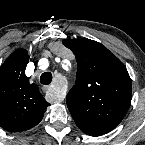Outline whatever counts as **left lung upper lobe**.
<instances>
[{
	"mask_svg": "<svg viewBox=\"0 0 145 145\" xmlns=\"http://www.w3.org/2000/svg\"><path fill=\"white\" fill-rule=\"evenodd\" d=\"M77 61L76 82L67 106L77 126L88 135L113 130L131 102V79L124 64L102 44L90 39H66Z\"/></svg>",
	"mask_w": 145,
	"mask_h": 145,
	"instance_id": "1",
	"label": "left lung upper lobe"
}]
</instances>
